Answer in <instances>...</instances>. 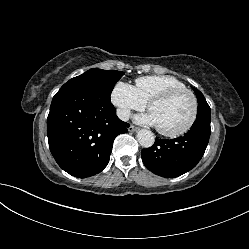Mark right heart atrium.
<instances>
[{
	"label": "right heart atrium",
	"mask_w": 249,
	"mask_h": 249,
	"mask_svg": "<svg viewBox=\"0 0 249 249\" xmlns=\"http://www.w3.org/2000/svg\"><path fill=\"white\" fill-rule=\"evenodd\" d=\"M111 102L122 119H127L131 111L146 107V102L140 97L136 88L122 81L114 85L111 91Z\"/></svg>",
	"instance_id": "right-heart-atrium-1"
}]
</instances>
